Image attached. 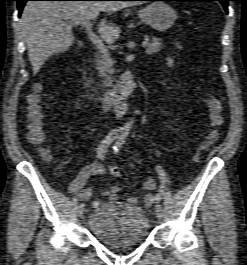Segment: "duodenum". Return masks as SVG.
Here are the masks:
<instances>
[{
	"label": "duodenum",
	"instance_id": "1",
	"mask_svg": "<svg viewBox=\"0 0 247 265\" xmlns=\"http://www.w3.org/2000/svg\"><path fill=\"white\" fill-rule=\"evenodd\" d=\"M80 72L88 95L102 109H107L113 105H122L135 89L134 75L128 70L120 75L118 85L115 88L104 93L94 88L84 66H81Z\"/></svg>",
	"mask_w": 247,
	"mask_h": 265
}]
</instances>
